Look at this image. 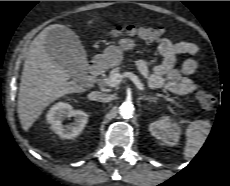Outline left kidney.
Here are the masks:
<instances>
[{
  "instance_id": "5707ae66",
  "label": "left kidney",
  "mask_w": 230,
  "mask_h": 186,
  "mask_svg": "<svg viewBox=\"0 0 230 186\" xmlns=\"http://www.w3.org/2000/svg\"><path fill=\"white\" fill-rule=\"evenodd\" d=\"M149 131L156 139L163 141L167 145H175L180 136V126L173 123L169 117L161 119L149 125Z\"/></svg>"
}]
</instances>
